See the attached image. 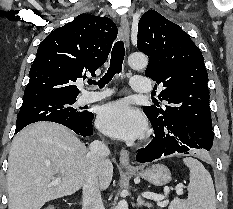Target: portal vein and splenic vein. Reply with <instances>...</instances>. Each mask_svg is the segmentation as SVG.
Here are the masks:
<instances>
[{
  "instance_id": "1",
  "label": "portal vein and splenic vein",
  "mask_w": 233,
  "mask_h": 209,
  "mask_svg": "<svg viewBox=\"0 0 233 209\" xmlns=\"http://www.w3.org/2000/svg\"><path fill=\"white\" fill-rule=\"evenodd\" d=\"M59 183H60V178H56L55 180L52 181L51 185L56 186V185H58ZM166 192H167V191H166ZM176 193H177L178 195H182V194H183V189H182L181 186H180V187H177ZM142 196H143L144 198L157 201V202H158V206H160V207H164V206H166V205L168 204V200H167V199L164 200L165 197H166V196H164V195L154 194V193H151V192H144V193L142 194ZM162 200H164V201H162ZM160 201H162V202H160Z\"/></svg>"
}]
</instances>
